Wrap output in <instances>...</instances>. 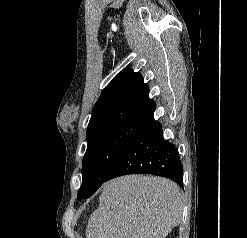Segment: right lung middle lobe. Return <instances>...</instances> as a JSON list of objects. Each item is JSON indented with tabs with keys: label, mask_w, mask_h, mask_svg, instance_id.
Wrapping results in <instances>:
<instances>
[{
	"label": "right lung middle lobe",
	"mask_w": 247,
	"mask_h": 238,
	"mask_svg": "<svg viewBox=\"0 0 247 238\" xmlns=\"http://www.w3.org/2000/svg\"><path fill=\"white\" fill-rule=\"evenodd\" d=\"M147 122L140 119L120 120L87 135L78 199L90 197L105 182L114 163Z\"/></svg>",
	"instance_id": "obj_1"
}]
</instances>
